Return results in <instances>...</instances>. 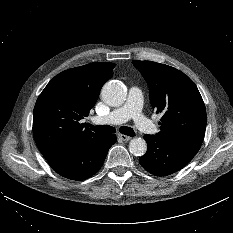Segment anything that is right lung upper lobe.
Masks as SVG:
<instances>
[{
  "instance_id": "right-lung-upper-lobe-1",
  "label": "right lung upper lobe",
  "mask_w": 233,
  "mask_h": 233,
  "mask_svg": "<svg viewBox=\"0 0 233 233\" xmlns=\"http://www.w3.org/2000/svg\"><path fill=\"white\" fill-rule=\"evenodd\" d=\"M114 67V63H90L65 70L47 84L33 113V135L46 160L69 154L100 136L80 120L88 116Z\"/></svg>"
}]
</instances>
